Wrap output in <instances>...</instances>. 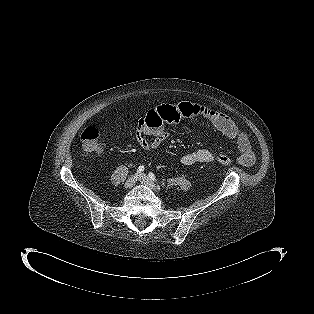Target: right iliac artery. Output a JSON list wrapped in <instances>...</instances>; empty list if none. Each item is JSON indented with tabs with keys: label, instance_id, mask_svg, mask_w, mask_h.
Returning a JSON list of instances; mask_svg holds the SVG:
<instances>
[{
	"label": "right iliac artery",
	"instance_id": "1",
	"mask_svg": "<svg viewBox=\"0 0 314 314\" xmlns=\"http://www.w3.org/2000/svg\"><path fill=\"white\" fill-rule=\"evenodd\" d=\"M143 171H144V166L143 165L139 166L138 170H137V173H141Z\"/></svg>",
	"mask_w": 314,
	"mask_h": 314
}]
</instances>
